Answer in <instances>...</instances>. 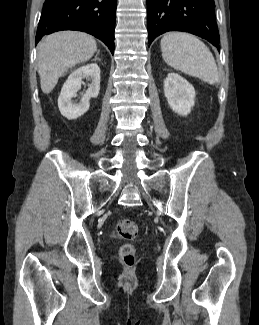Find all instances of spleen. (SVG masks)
<instances>
[{
  "mask_svg": "<svg viewBox=\"0 0 259 325\" xmlns=\"http://www.w3.org/2000/svg\"><path fill=\"white\" fill-rule=\"evenodd\" d=\"M164 61L176 70L198 77L210 84L219 81L215 59L197 37L182 32L164 35L160 42Z\"/></svg>",
  "mask_w": 259,
  "mask_h": 325,
  "instance_id": "spleen-1",
  "label": "spleen"
}]
</instances>
